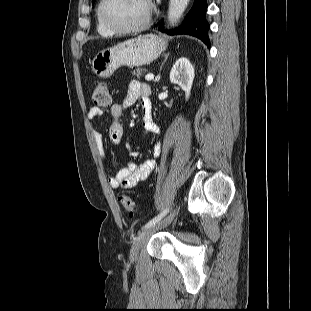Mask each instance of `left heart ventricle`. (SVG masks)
Wrapping results in <instances>:
<instances>
[{
	"label": "left heart ventricle",
	"instance_id": "b2bd125f",
	"mask_svg": "<svg viewBox=\"0 0 311 311\" xmlns=\"http://www.w3.org/2000/svg\"><path fill=\"white\" fill-rule=\"evenodd\" d=\"M147 11V0H109L106 5V16L120 27L139 24Z\"/></svg>",
	"mask_w": 311,
	"mask_h": 311
}]
</instances>
